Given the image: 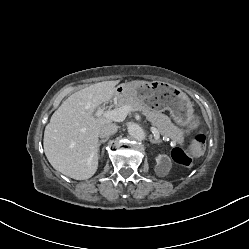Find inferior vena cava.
<instances>
[{
	"instance_id": "1",
	"label": "inferior vena cava",
	"mask_w": 249,
	"mask_h": 249,
	"mask_svg": "<svg viewBox=\"0 0 249 249\" xmlns=\"http://www.w3.org/2000/svg\"><path fill=\"white\" fill-rule=\"evenodd\" d=\"M117 125L114 123H107L100 127L98 135L100 138H108L110 135L117 132Z\"/></svg>"
}]
</instances>
